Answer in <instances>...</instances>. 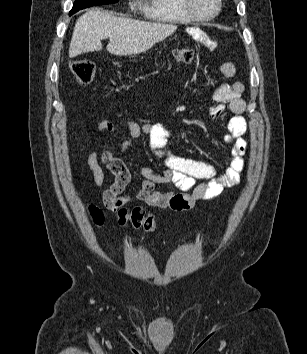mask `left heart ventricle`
Listing matches in <instances>:
<instances>
[{
    "label": "left heart ventricle",
    "instance_id": "b2bd125f",
    "mask_svg": "<svg viewBox=\"0 0 307 354\" xmlns=\"http://www.w3.org/2000/svg\"><path fill=\"white\" fill-rule=\"evenodd\" d=\"M193 10L201 16L211 15L216 9V0H191Z\"/></svg>",
    "mask_w": 307,
    "mask_h": 354
}]
</instances>
